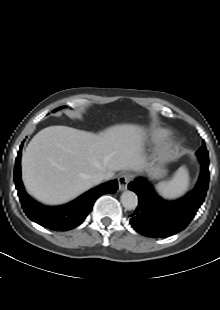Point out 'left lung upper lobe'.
<instances>
[{
	"mask_svg": "<svg viewBox=\"0 0 220 310\" xmlns=\"http://www.w3.org/2000/svg\"><path fill=\"white\" fill-rule=\"evenodd\" d=\"M196 155L198 156L200 161H205V160L209 161L208 151L204 144L198 149V151L196 152Z\"/></svg>",
	"mask_w": 220,
	"mask_h": 310,
	"instance_id": "5c2ea615",
	"label": "left lung upper lobe"
}]
</instances>
